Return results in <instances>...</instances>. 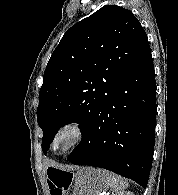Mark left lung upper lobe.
Here are the masks:
<instances>
[{"instance_id":"left-lung-upper-lobe-1","label":"left lung upper lobe","mask_w":178,"mask_h":195,"mask_svg":"<svg viewBox=\"0 0 178 195\" xmlns=\"http://www.w3.org/2000/svg\"><path fill=\"white\" fill-rule=\"evenodd\" d=\"M150 52L140 22L120 6L105 5L73 25L52 53L39 92L43 153L66 124L79 123L83 137L113 88Z\"/></svg>"}]
</instances>
